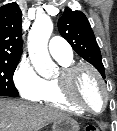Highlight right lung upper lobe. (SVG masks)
I'll return each instance as SVG.
<instances>
[{
  "mask_svg": "<svg viewBox=\"0 0 117 131\" xmlns=\"http://www.w3.org/2000/svg\"><path fill=\"white\" fill-rule=\"evenodd\" d=\"M22 12L16 3L0 7V60H19L22 52Z\"/></svg>",
  "mask_w": 117,
  "mask_h": 131,
  "instance_id": "obj_1",
  "label": "right lung upper lobe"
}]
</instances>
